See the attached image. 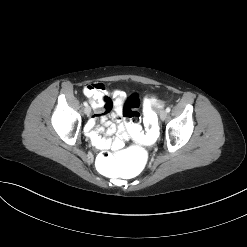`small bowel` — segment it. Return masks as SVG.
I'll return each instance as SVG.
<instances>
[{"instance_id":"small-bowel-1","label":"small bowel","mask_w":247,"mask_h":247,"mask_svg":"<svg viewBox=\"0 0 247 247\" xmlns=\"http://www.w3.org/2000/svg\"><path fill=\"white\" fill-rule=\"evenodd\" d=\"M83 93L90 100L95 110V114L85 126L86 135L92 144L102 150L121 149L124 146L128 129L123 124L116 126L108 121L107 117L110 116L115 121L121 119L125 99L124 93L120 90H114L110 93L102 83L86 85L83 88ZM99 121L102 127L98 126ZM115 134V138H109Z\"/></svg>"}]
</instances>
